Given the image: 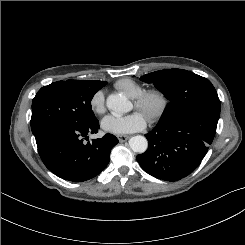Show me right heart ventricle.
I'll list each match as a JSON object with an SVG mask.
<instances>
[{
    "instance_id": "right-heart-ventricle-1",
    "label": "right heart ventricle",
    "mask_w": 245,
    "mask_h": 245,
    "mask_svg": "<svg viewBox=\"0 0 245 245\" xmlns=\"http://www.w3.org/2000/svg\"><path fill=\"white\" fill-rule=\"evenodd\" d=\"M115 88L131 98H135L145 89L144 86L130 78H122L116 81Z\"/></svg>"
}]
</instances>
